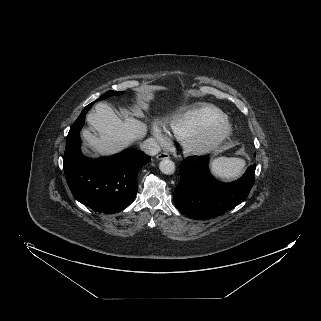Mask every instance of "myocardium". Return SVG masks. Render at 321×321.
<instances>
[{"instance_id": "1", "label": "myocardium", "mask_w": 321, "mask_h": 321, "mask_svg": "<svg viewBox=\"0 0 321 321\" xmlns=\"http://www.w3.org/2000/svg\"><path fill=\"white\" fill-rule=\"evenodd\" d=\"M232 131V124L227 118L212 121L183 139L184 149L191 155L212 153L226 142Z\"/></svg>"}]
</instances>
